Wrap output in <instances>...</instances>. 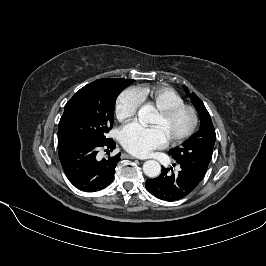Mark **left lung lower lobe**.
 <instances>
[{"label": "left lung lower lobe", "instance_id": "0a47b994", "mask_svg": "<svg viewBox=\"0 0 266 266\" xmlns=\"http://www.w3.org/2000/svg\"><path fill=\"white\" fill-rule=\"evenodd\" d=\"M180 167L178 174H168L170 169L162 167L160 176L146 181V189L165 201L172 202L184 198L198 186L202 179L187 167L183 165Z\"/></svg>", "mask_w": 266, "mask_h": 266}]
</instances>
